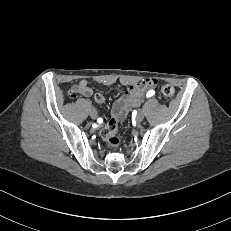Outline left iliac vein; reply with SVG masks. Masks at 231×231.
<instances>
[{
	"label": "left iliac vein",
	"mask_w": 231,
	"mask_h": 231,
	"mask_svg": "<svg viewBox=\"0 0 231 231\" xmlns=\"http://www.w3.org/2000/svg\"><path fill=\"white\" fill-rule=\"evenodd\" d=\"M144 116H145V114L142 110L138 111L137 116H136L137 121L142 122L144 119Z\"/></svg>",
	"instance_id": "obj_1"
}]
</instances>
